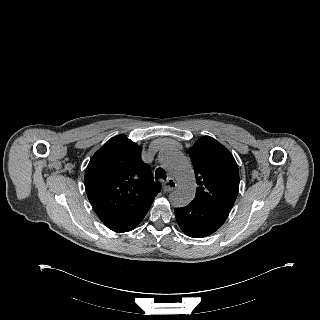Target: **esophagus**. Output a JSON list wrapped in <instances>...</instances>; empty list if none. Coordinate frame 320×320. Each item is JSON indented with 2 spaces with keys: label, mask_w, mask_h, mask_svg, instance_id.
I'll list each match as a JSON object with an SVG mask.
<instances>
[{
  "label": "esophagus",
  "mask_w": 320,
  "mask_h": 320,
  "mask_svg": "<svg viewBox=\"0 0 320 320\" xmlns=\"http://www.w3.org/2000/svg\"><path fill=\"white\" fill-rule=\"evenodd\" d=\"M177 187V183L173 178H168L164 184L166 191H172Z\"/></svg>",
  "instance_id": "obj_1"
}]
</instances>
